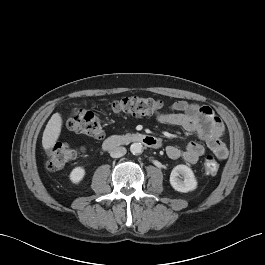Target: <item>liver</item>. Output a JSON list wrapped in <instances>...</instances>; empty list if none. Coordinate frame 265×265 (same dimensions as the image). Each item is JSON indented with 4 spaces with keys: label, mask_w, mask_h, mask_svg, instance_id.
I'll return each instance as SVG.
<instances>
[{
    "label": "liver",
    "mask_w": 265,
    "mask_h": 265,
    "mask_svg": "<svg viewBox=\"0 0 265 265\" xmlns=\"http://www.w3.org/2000/svg\"><path fill=\"white\" fill-rule=\"evenodd\" d=\"M62 117L59 113L52 115L43 132L42 146L45 150L50 149L60 136Z\"/></svg>",
    "instance_id": "obj_1"
}]
</instances>
